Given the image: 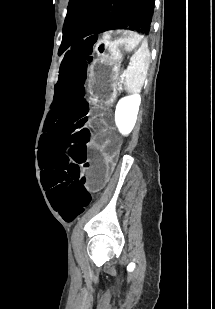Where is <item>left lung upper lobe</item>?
Instances as JSON below:
<instances>
[{
    "label": "left lung upper lobe",
    "instance_id": "5c2ea615",
    "mask_svg": "<svg viewBox=\"0 0 215 309\" xmlns=\"http://www.w3.org/2000/svg\"><path fill=\"white\" fill-rule=\"evenodd\" d=\"M154 0H70L59 52L93 34L129 28L149 34Z\"/></svg>",
    "mask_w": 215,
    "mask_h": 309
}]
</instances>
